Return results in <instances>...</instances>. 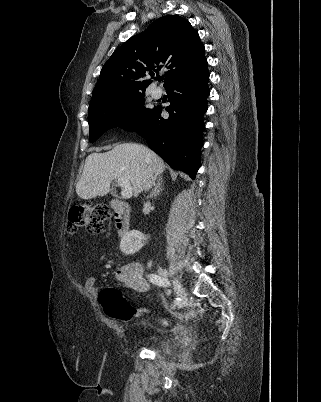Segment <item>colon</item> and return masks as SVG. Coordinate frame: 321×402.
<instances>
[{"instance_id":"colon-1","label":"colon","mask_w":321,"mask_h":402,"mask_svg":"<svg viewBox=\"0 0 321 402\" xmlns=\"http://www.w3.org/2000/svg\"><path fill=\"white\" fill-rule=\"evenodd\" d=\"M108 208L89 203H78L71 206L67 218V230L75 233L84 228L89 233H99L103 223L110 217ZM99 303L104 313L111 319L129 321L135 311L125 294L114 287H107L100 292Z\"/></svg>"}]
</instances>
